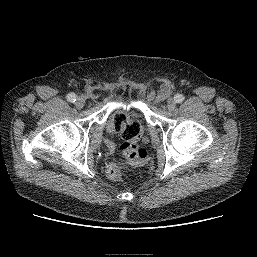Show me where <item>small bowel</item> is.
I'll list each match as a JSON object with an SVG mask.
<instances>
[{
  "mask_svg": "<svg viewBox=\"0 0 257 257\" xmlns=\"http://www.w3.org/2000/svg\"><path fill=\"white\" fill-rule=\"evenodd\" d=\"M134 116H135L136 118H139V119H143V118H144L143 115H142L140 112H135V113H134Z\"/></svg>",
  "mask_w": 257,
  "mask_h": 257,
  "instance_id": "1",
  "label": "small bowel"
}]
</instances>
